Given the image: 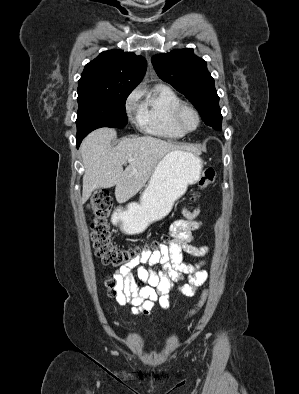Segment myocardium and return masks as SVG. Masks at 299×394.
Returning <instances> with one entry per match:
<instances>
[{
    "instance_id": "obj_1",
    "label": "myocardium",
    "mask_w": 299,
    "mask_h": 394,
    "mask_svg": "<svg viewBox=\"0 0 299 394\" xmlns=\"http://www.w3.org/2000/svg\"><path fill=\"white\" fill-rule=\"evenodd\" d=\"M185 110L191 111L196 117V126L193 129H188L183 125L182 115ZM173 120L175 125L183 132V133H191L197 130L201 123V117L198 110L189 103L181 102L174 110Z\"/></svg>"
}]
</instances>
